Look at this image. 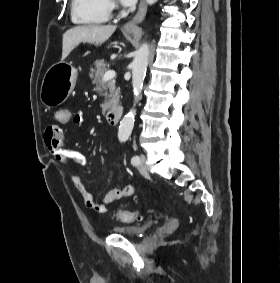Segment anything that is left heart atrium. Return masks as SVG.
Wrapping results in <instances>:
<instances>
[{
	"mask_svg": "<svg viewBox=\"0 0 280 283\" xmlns=\"http://www.w3.org/2000/svg\"><path fill=\"white\" fill-rule=\"evenodd\" d=\"M137 2V0H121V3L125 6H132Z\"/></svg>",
	"mask_w": 280,
	"mask_h": 283,
	"instance_id": "1",
	"label": "left heart atrium"
}]
</instances>
